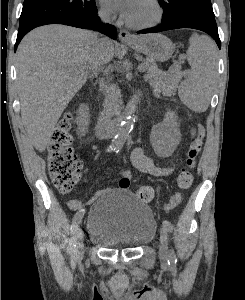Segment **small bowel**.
<instances>
[{
    "instance_id": "small-bowel-1",
    "label": "small bowel",
    "mask_w": 245,
    "mask_h": 300,
    "mask_svg": "<svg viewBox=\"0 0 245 300\" xmlns=\"http://www.w3.org/2000/svg\"><path fill=\"white\" fill-rule=\"evenodd\" d=\"M97 135L104 137L106 136L104 132L97 126L96 128ZM189 133L193 138L196 135L195 128H189ZM130 161L132 165L139 170L140 172L150 174L157 177H167L174 173L175 168L172 166L161 167L157 166L153 160L148 157L142 148H135L130 154ZM131 180V172L123 171L120 173V180H119V188L120 189H128L130 186ZM103 191H97L92 195V197L88 200V203H92L95 201ZM67 206L73 211H81L83 210V204L80 200L75 198H70L67 200Z\"/></svg>"
}]
</instances>
